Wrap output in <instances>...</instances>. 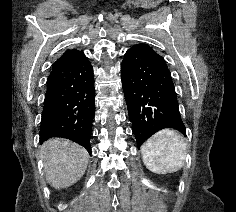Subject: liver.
I'll list each match as a JSON object with an SVG mask.
<instances>
[{
  "label": "liver",
  "instance_id": "liver-1",
  "mask_svg": "<svg viewBox=\"0 0 236 212\" xmlns=\"http://www.w3.org/2000/svg\"><path fill=\"white\" fill-rule=\"evenodd\" d=\"M41 154L47 182L56 189H64L80 180L89 161L86 149L62 138L43 143Z\"/></svg>",
  "mask_w": 236,
  "mask_h": 212
}]
</instances>
